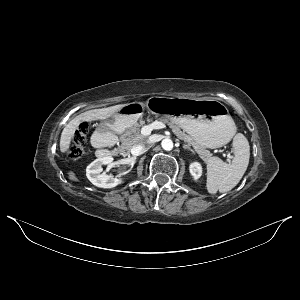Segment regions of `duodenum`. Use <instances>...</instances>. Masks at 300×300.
Masks as SVG:
<instances>
[{"instance_id":"1","label":"duodenum","mask_w":300,"mask_h":300,"mask_svg":"<svg viewBox=\"0 0 300 300\" xmlns=\"http://www.w3.org/2000/svg\"><path fill=\"white\" fill-rule=\"evenodd\" d=\"M93 143L97 147L100 158H105L115 152L113 148L114 138L105 129H100L93 134Z\"/></svg>"}]
</instances>
